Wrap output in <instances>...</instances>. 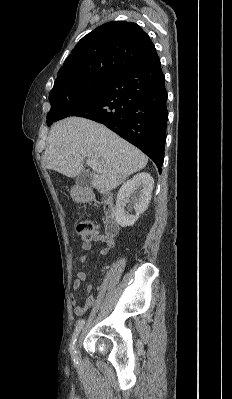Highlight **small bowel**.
<instances>
[{
  "label": "small bowel",
  "mask_w": 232,
  "mask_h": 399,
  "mask_svg": "<svg viewBox=\"0 0 232 399\" xmlns=\"http://www.w3.org/2000/svg\"><path fill=\"white\" fill-rule=\"evenodd\" d=\"M113 246V242H106L105 245L99 250L98 256H105L108 250ZM92 243L89 241H85L82 243L83 253L80 256V261L83 262L87 258V253L91 250ZM87 274L85 271H78L77 279L73 281L72 288L74 293L70 296V308L74 315L81 316L83 315L88 308H90L93 304V299L91 296H88L83 304L78 305V291L80 289L81 283L86 279ZM93 286L91 283H88L86 286V292L91 293Z\"/></svg>",
  "instance_id": "small-bowel-1"
}]
</instances>
